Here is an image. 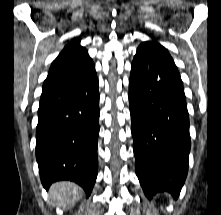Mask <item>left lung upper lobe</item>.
Segmentation results:
<instances>
[{
	"instance_id": "1",
	"label": "left lung upper lobe",
	"mask_w": 221,
	"mask_h": 215,
	"mask_svg": "<svg viewBox=\"0 0 221 215\" xmlns=\"http://www.w3.org/2000/svg\"><path fill=\"white\" fill-rule=\"evenodd\" d=\"M154 44H159V43H157V42L154 41V40H151V41H147V42L141 43V45H140L138 48H148V47H150V46H152V45H154ZM159 45H160V44H159Z\"/></svg>"
}]
</instances>
